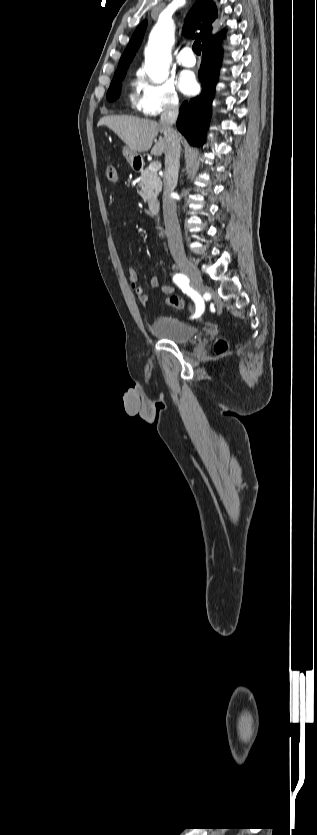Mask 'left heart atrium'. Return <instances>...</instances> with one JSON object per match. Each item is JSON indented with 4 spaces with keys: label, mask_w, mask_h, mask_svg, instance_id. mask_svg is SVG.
<instances>
[{
    "label": "left heart atrium",
    "mask_w": 317,
    "mask_h": 835,
    "mask_svg": "<svg viewBox=\"0 0 317 835\" xmlns=\"http://www.w3.org/2000/svg\"><path fill=\"white\" fill-rule=\"evenodd\" d=\"M178 85L180 90L187 95L194 94L198 89V84L194 74L188 71L181 73Z\"/></svg>",
    "instance_id": "1"
}]
</instances>
